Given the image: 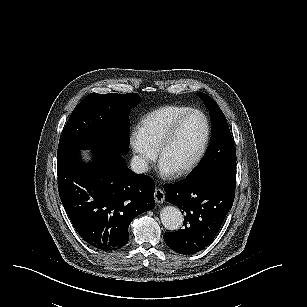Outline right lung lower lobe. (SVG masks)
<instances>
[{"label": "right lung lower lobe", "mask_w": 307, "mask_h": 307, "mask_svg": "<svg viewBox=\"0 0 307 307\" xmlns=\"http://www.w3.org/2000/svg\"><path fill=\"white\" fill-rule=\"evenodd\" d=\"M94 160L79 151L57 158L58 190L77 232L91 246L111 251L128 242V226L154 207V182L127 169L117 150L89 148Z\"/></svg>", "instance_id": "1"}]
</instances>
